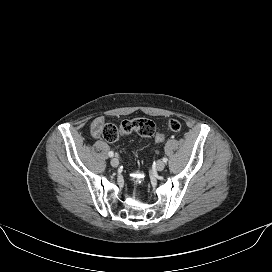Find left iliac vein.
<instances>
[{"label":"left iliac vein","instance_id":"1","mask_svg":"<svg viewBox=\"0 0 272 272\" xmlns=\"http://www.w3.org/2000/svg\"><path fill=\"white\" fill-rule=\"evenodd\" d=\"M155 168L158 171H162L165 168V163L161 160H158L155 164Z\"/></svg>","mask_w":272,"mask_h":272}]
</instances>
